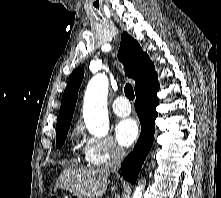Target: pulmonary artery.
I'll use <instances>...</instances> for the list:
<instances>
[{"label": "pulmonary artery", "instance_id": "1", "mask_svg": "<svg viewBox=\"0 0 221 198\" xmlns=\"http://www.w3.org/2000/svg\"><path fill=\"white\" fill-rule=\"evenodd\" d=\"M113 112L119 117H126L131 113V106L125 96L117 97L112 104Z\"/></svg>", "mask_w": 221, "mask_h": 198}]
</instances>
